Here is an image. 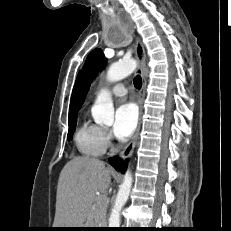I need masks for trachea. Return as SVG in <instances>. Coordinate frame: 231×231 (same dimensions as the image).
Masks as SVG:
<instances>
[{"label": "trachea", "instance_id": "obj_1", "mask_svg": "<svg viewBox=\"0 0 231 231\" xmlns=\"http://www.w3.org/2000/svg\"><path fill=\"white\" fill-rule=\"evenodd\" d=\"M134 86L137 88V89H140L141 86H142V80H141V77L138 75L137 77L134 78Z\"/></svg>", "mask_w": 231, "mask_h": 231}]
</instances>
